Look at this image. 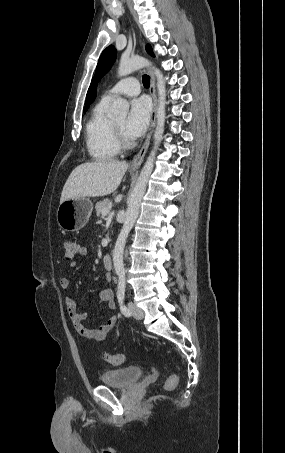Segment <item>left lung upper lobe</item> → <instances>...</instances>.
Instances as JSON below:
<instances>
[{"label":"left lung upper lobe","mask_w":285,"mask_h":453,"mask_svg":"<svg viewBox=\"0 0 285 453\" xmlns=\"http://www.w3.org/2000/svg\"><path fill=\"white\" fill-rule=\"evenodd\" d=\"M146 51L154 56L152 48L149 44L146 45ZM117 51L113 45L108 46L101 54L95 72V77L99 81L102 76L111 68L112 64L116 60ZM92 98L91 102L94 100Z\"/></svg>","instance_id":"obj_1"}]
</instances>
